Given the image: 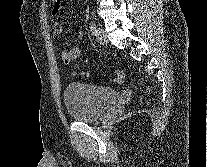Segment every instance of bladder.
Wrapping results in <instances>:
<instances>
[{
	"instance_id": "31cf9c89",
	"label": "bladder",
	"mask_w": 207,
	"mask_h": 167,
	"mask_svg": "<svg viewBox=\"0 0 207 167\" xmlns=\"http://www.w3.org/2000/svg\"><path fill=\"white\" fill-rule=\"evenodd\" d=\"M116 96V92L111 88L79 82L69 83L63 93L69 116L79 122L98 120Z\"/></svg>"
}]
</instances>
